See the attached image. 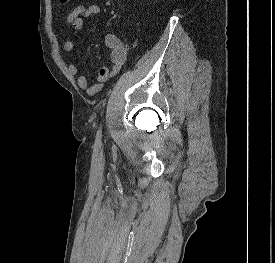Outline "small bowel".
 <instances>
[{
	"mask_svg": "<svg viewBox=\"0 0 275 263\" xmlns=\"http://www.w3.org/2000/svg\"><path fill=\"white\" fill-rule=\"evenodd\" d=\"M99 13L100 7L97 4H80L68 14L67 25L74 30H81L84 28L86 21L97 17ZM105 42L110 48L112 68L108 66L101 67L98 71L96 83L89 84L84 76H78L76 80L77 86L87 91L90 95L99 92L104 84L120 71L126 61L127 50L124 40L114 34H107L105 36ZM74 48L75 43L71 40H67L63 43V50L65 52H70ZM67 70L71 76H76L78 73L77 66L74 63L68 64Z\"/></svg>",
	"mask_w": 275,
	"mask_h": 263,
	"instance_id": "obj_1",
	"label": "small bowel"
}]
</instances>
